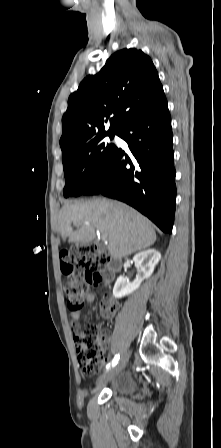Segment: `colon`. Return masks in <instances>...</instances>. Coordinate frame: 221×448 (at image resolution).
Masks as SVG:
<instances>
[{"label":"colon","mask_w":221,"mask_h":448,"mask_svg":"<svg viewBox=\"0 0 221 448\" xmlns=\"http://www.w3.org/2000/svg\"><path fill=\"white\" fill-rule=\"evenodd\" d=\"M110 255L95 244H76L60 254V265L66 277L65 294L69 309L79 310L91 286L102 284L108 277ZM107 336H100L99 325L91 322L76 336L78 360L86 374H95L103 365V347Z\"/></svg>","instance_id":"5ec220e1"}]
</instances>
